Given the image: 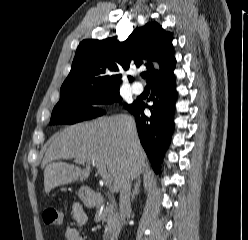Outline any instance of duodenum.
Wrapping results in <instances>:
<instances>
[{
  "label": "duodenum",
  "instance_id": "410a0bca",
  "mask_svg": "<svg viewBox=\"0 0 248 240\" xmlns=\"http://www.w3.org/2000/svg\"><path fill=\"white\" fill-rule=\"evenodd\" d=\"M102 202V199L101 198H98L97 199V203L99 204V203H101Z\"/></svg>",
  "mask_w": 248,
  "mask_h": 240
}]
</instances>
